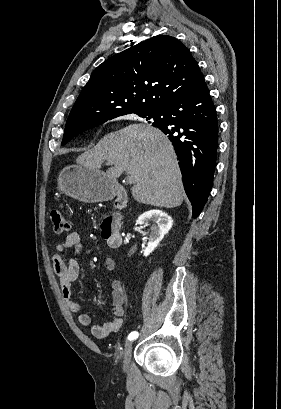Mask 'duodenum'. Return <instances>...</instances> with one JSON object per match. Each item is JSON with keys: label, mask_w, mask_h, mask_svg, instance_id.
<instances>
[{"label": "duodenum", "mask_w": 281, "mask_h": 409, "mask_svg": "<svg viewBox=\"0 0 281 409\" xmlns=\"http://www.w3.org/2000/svg\"><path fill=\"white\" fill-rule=\"evenodd\" d=\"M127 198L126 186H115L113 201L118 209H122ZM103 236L107 239L108 244L113 249H119L122 246V233L117 224L116 215H107L101 221Z\"/></svg>", "instance_id": "obj_1"}]
</instances>
